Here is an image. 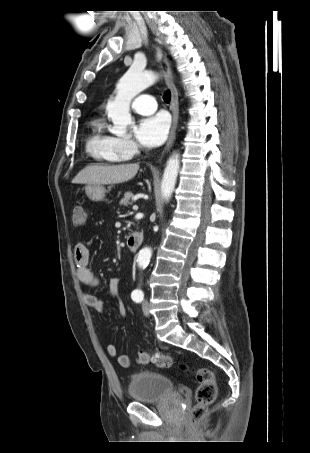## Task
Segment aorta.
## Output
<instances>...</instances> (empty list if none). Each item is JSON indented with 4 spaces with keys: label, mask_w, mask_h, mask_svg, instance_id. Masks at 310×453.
I'll return each mask as SVG.
<instances>
[{
    "label": "aorta",
    "mask_w": 310,
    "mask_h": 453,
    "mask_svg": "<svg viewBox=\"0 0 310 453\" xmlns=\"http://www.w3.org/2000/svg\"><path fill=\"white\" fill-rule=\"evenodd\" d=\"M157 79V74L152 71H143L135 66L122 76L117 84V93L113 101H109L106 107L108 117L113 122L111 132L115 135H124L127 126L131 124L130 104L132 99L141 91L151 86ZM180 160L178 154H173L167 161L162 182L161 193L165 201H169L174 191ZM152 256L150 248L140 250L137 262L139 266H146Z\"/></svg>",
    "instance_id": "obj_1"
}]
</instances>
